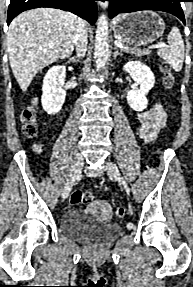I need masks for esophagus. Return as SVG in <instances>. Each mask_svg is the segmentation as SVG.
I'll list each match as a JSON object with an SVG mask.
<instances>
[{
	"label": "esophagus",
	"mask_w": 193,
	"mask_h": 287,
	"mask_svg": "<svg viewBox=\"0 0 193 287\" xmlns=\"http://www.w3.org/2000/svg\"><path fill=\"white\" fill-rule=\"evenodd\" d=\"M99 5L102 8H106L108 6V1L107 0H99Z\"/></svg>",
	"instance_id": "34e87169"
}]
</instances>
